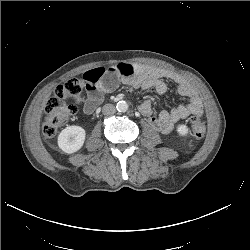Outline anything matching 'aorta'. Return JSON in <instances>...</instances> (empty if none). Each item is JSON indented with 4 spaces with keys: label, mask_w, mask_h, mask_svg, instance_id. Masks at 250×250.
Here are the masks:
<instances>
[{
    "label": "aorta",
    "mask_w": 250,
    "mask_h": 250,
    "mask_svg": "<svg viewBox=\"0 0 250 250\" xmlns=\"http://www.w3.org/2000/svg\"><path fill=\"white\" fill-rule=\"evenodd\" d=\"M128 104L127 102L125 101H119L116 105V109L119 111V112H126L128 110Z\"/></svg>",
    "instance_id": "aorta-1"
}]
</instances>
